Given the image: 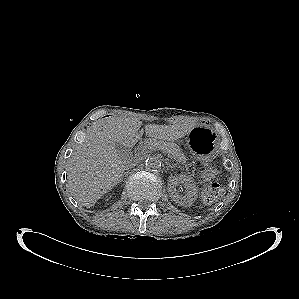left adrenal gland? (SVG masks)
I'll list each match as a JSON object with an SVG mask.
<instances>
[{
  "mask_svg": "<svg viewBox=\"0 0 299 299\" xmlns=\"http://www.w3.org/2000/svg\"><path fill=\"white\" fill-rule=\"evenodd\" d=\"M172 168H175V165L168 164L167 169H172Z\"/></svg>",
  "mask_w": 299,
  "mask_h": 299,
  "instance_id": "obj_1",
  "label": "left adrenal gland"
}]
</instances>
